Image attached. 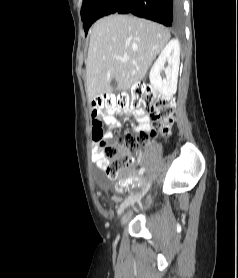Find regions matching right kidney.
<instances>
[{"mask_svg":"<svg viewBox=\"0 0 238 278\" xmlns=\"http://www.w3.org/2000/svg\"><path fill=\"white\" fill-rule=\"evenodd\" d=\"M167 67H164L165 63ZM180 64V44L177 39L171 40L162 50L150 70V83L160 94L170 97L177 89V79ZM164 71L166 78L161 77Z\"/></svg>","mask_w":238,"mask_h":278,"instance_id":"obj_1","label":"right kidney"}]
</instances>
